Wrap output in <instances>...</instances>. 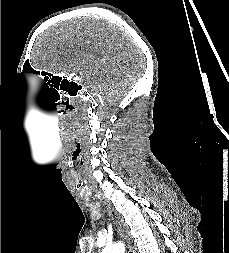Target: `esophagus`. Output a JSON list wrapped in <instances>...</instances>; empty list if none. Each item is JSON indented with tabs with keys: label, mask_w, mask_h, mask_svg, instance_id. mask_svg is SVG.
Instances as JSON below:
<instances>
[{
	"label": "esophagus",
	"mask_w": 229,
	"mask_h": 253,
	"mask_svg": "<svg viewBox=\"0 0 229 253\" xmlns=\"http://www.w3.org/2000/svg\"><path fill=\"white\" fill-rule=\"evenodd\" d=\"M106 208H107V211H108L109 215L111 216V218L116 223L120 234L125 239L129 250L133 253H136L133 238L131 237L130 232H129V228L124 223L122 217L109 204H106Z\"/></svg>",
	"instance_id": "34e87169"
}]
</instances>
